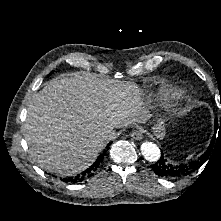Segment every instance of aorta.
Masks as SVG:
<instances>
[{
	"label": "aorta",
	"instance_id": "aorta-1",
	"mask_svg": "<svg viewBox=\"0 0 221 221\" xmlns=\"http://www.w3.org/2000/svg\"><path fill=\"white\" fill-rule=\"evenodd\" d=\"M141 153L150 162L158 161L161 155L159 147L152 142H143L141 144Z\"/></svg>",
	"mask_w": 221,
	"mask_h": 221
}]
</instances>
